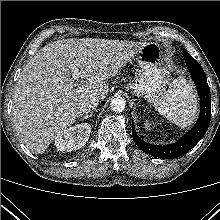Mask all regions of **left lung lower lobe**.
Returning a JSON list of instances; mask_svg holds the SVG:
<instances>
[{
    "instance_id": "1",
    "label": "left lung lower lobe",
    "mask_w": 220,
    "mask_h": 220,
    "mask_svg": "<svg viewBox=\"0 0 220 220\" xmlns=\"http://www.w3.org/2000/svg\"><path fill=\"white\" fill-rule=\"evenodd\" d=\"M183 56L199 93L201 101L200 116L196 125L184 137L174 144L165 146L151 145L142 141L136 134L133 125L132 137L137 146L145 153L155 157L171 159L184 155L195 147L209 127L211 118V94L206 75L201 65L185 49H183Z\"/></svg>"
}]
</instances>
